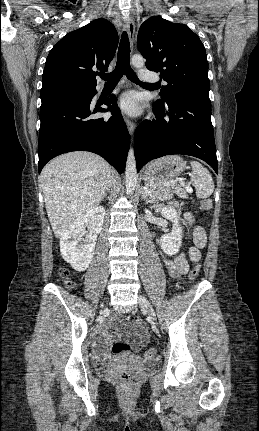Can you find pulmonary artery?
Returning <instances> with one entry per match:
<instances>
[{
	"label": "pulmonary artery",
	"instance_id": "pulmonary-artery-1",
	"mask_svg": "<svg viewBox=\"0 0 259 431\" xmlns=\"http://www.w3.org/2000/svg\"><path fill=\"white\" fill-rule=\"evenodd\" d=\"M139 77L143 82H156L158 77L147 70H140Z\"/></svg>",
	"mask_w": 259,
	"mask_h": 431
}]
</instances>
